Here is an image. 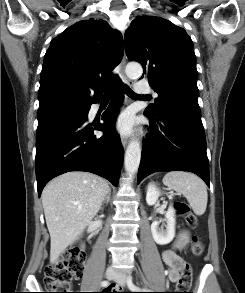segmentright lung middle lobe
<instances>
[{
    "label": "right lung middle lobe",
    "mask_w": 245,
    "mask_h": 293,
    "mask_svg": "<svg viewBox=\"0 0 245 293\" xmlns=\"http://www.w3.org/2000/svg\"><path fill=\"white\" fill-rule=\"evenodd\" d=\"M87 106L88 105L58 104L39 108L37 112V132L44 130L57 121L82 116Z\"/></svg>",
    "instance_id": "1"
}]
</instances>
